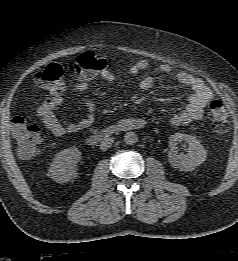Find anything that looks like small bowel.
<instances>
[{
  "instance_id": "small-bowel-1",
  "label": "small bowel",
  "mask_w": 238,
  "mask_h": 261,
  "mask_svg": "<svg viewBox=\"0 0 238 261\" xmlns=\"http://www.w3.org/2000/svg\"><path fill=\"white\" fill-rule=\"evenodd\" d=\"M150 67L151 63L148 60L142 59L129 68L128 74L136 75ZM98 75L108 82H113L119 77L118 74L106 67L98 72ZM154 75H170L176 82L189 87L192 91L188 97L185 108L170 118L169 124L172 127L188 125L193 121L199 120L203 116L205 107L213 96L212 91L203 80L184 71H174L168 64H157L153 67V75H148L140 81L139 85L142 90L147 91L154 86ZM92 77L93 76L88 75L80 77L73 86L74 91L78 93L85 92L88 89L89 81ZM63 93L64 91L61 93L53 92L52 96L46 99L38 108L37 116L43 126L55 136H64L90 128L95 120L96 106L92 99L87 96L82 97V103L87 110V114L83 119L72 123H64L58 119L56 113L58 108L63 104ZM153 122L154 120L146 118L132 117L121 119L119 123H134L137 129Z\"/></svg>"
}]
</instances>
